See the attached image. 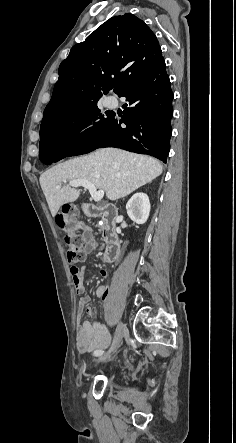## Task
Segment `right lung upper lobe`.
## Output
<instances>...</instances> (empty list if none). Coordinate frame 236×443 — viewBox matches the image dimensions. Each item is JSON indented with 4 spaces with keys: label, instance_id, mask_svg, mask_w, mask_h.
<instances>
[{
    "label": "right lung upper lobe",
    "instance_id": "obj_1",
    "mask_svg": "<svg viewBox=\"0 0 236 443\" xmlns=\"http://www.w3.org/2000/svg\"><path fill=\"white\" fill-rule=\"evenodd\" d=\"M161 58L157 37L145 22L130 13L110 18L60 64L43 120L82 107L112 88L119 96Z\"/></svg>",
    "mask_w": 236,
    "mask_h": 443
}]
</instances>
